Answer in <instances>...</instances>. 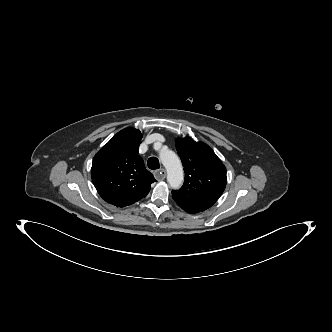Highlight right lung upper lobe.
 I'll list each match as a JSON object with an SVG mask.
<instances>
[{
    "label": "right lung upper lobe",
    "mask_w": 332,
    "mask_h": 332,
    "mask_svg": "<svg viewBox=\"0 0 332 332\" xmlns=\"http://www.w3.org/2000/svg\"><path fill=\"white\" fill-rule=\"evenodd\" d=\"M141 138L139 130L125 128L93 158V183L102 199L114 206L125 207L141 200L156 181L138 155Z\"/></svg>",
    "instance_id": "right-lung-upper-lobe-1"
}]
</instances>
